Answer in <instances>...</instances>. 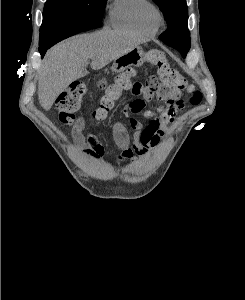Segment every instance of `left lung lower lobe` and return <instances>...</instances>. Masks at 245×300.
<instances>
[{
    "label": "left lung lower lobe",
    "mask_w": 245,
    "mask_h": 300,
    "mask_svg": "<svg viewBox=\"0 0 245 300\" xmlns=\"http://www.w3.org/2000/svg\"><path fill=\"white\" fill-rule=\"evenodd\" d=\"M175 49H177L178 51H180L181 54L183 55V57L186 56L187 52H184L180 47H177V48H175Z\"/></svg>",
    "instance_id": "1"
}]
</instances>
